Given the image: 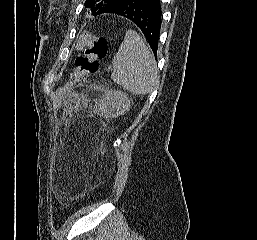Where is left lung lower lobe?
<instances>
[{"label": "left lung lower lobe", "mask_w": 257, "mask_h": 240, "mask_svg": "<svg viewBox=\"0 0 257 240\" xmlns=\"http://www.w3.org/2000/svg\"><path fill=\"white\" fill-rule=\"evenodd\" d=\"M104 13L117 14L132 21L146 37L157 59L162 23L160 0H121Z\"/></svg>", "instance_id": "1"}]
</instances>
